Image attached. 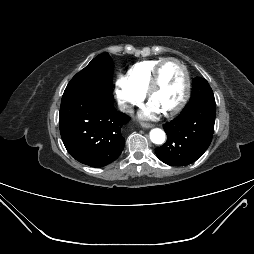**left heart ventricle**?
<instances>
[{
    "label": "left heart ventricle",
    "instance_id": "left-heart-ventricle-1",
    "mask_svg": "<svg viewBox=\"0 0 254 254\" xmlns=\"http://www.w3.org/2000/svg\"><path fill=\"white\" fill-rule=\"evenodd\" d=\"M184 89V77L180 66L175 62L164 65L160 83L150 101L159 110L165 112L173 108L181 99Z\"/></svg>",
    "mask_w": 254,
    "mask_h": 254
}]
</instances>
